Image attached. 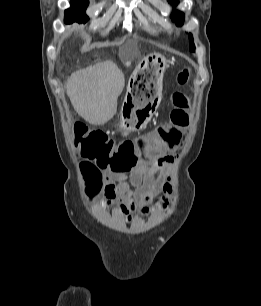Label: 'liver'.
<instances>
[{
  "label": "liver",
  "mask_w": 261,
  "mask_h": 306,
  "mask_svg": "<svg viewBox=\"0 0 261 306\" xmlns=\"http://www.w3.org/2000/svg\"><path fill=\"white\" fill-rule=\"evenodd\" d=\"M124 86L123 73L115 63L106 61L72 73L66 92L82 118L90 124L103 125L115 115Z\"/></svg>",
  "instance_id": "6515ba94"
}]
</instances>
